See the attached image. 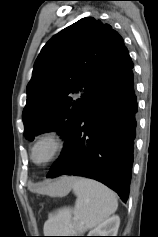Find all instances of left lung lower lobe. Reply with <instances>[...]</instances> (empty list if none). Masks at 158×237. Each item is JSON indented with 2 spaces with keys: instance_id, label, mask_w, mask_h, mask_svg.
<instances>
[{
  "instance_id": "1",
  "label": "left lung lower lobe",
  "mask_w": 158,
  "mask_h": 237,
  "mask_svg": "<svg viewBox=\"0 0 158 237\" xmlns=\"http://www.w3.org/2000/svg\"><path fill=\"white\" fill-rule=\"evenodd\" d=\"M137 98L132 69L101 90L81 112L47 177L84 176L126 202L132 174Z\"/></svg>"
}]
</instances>
